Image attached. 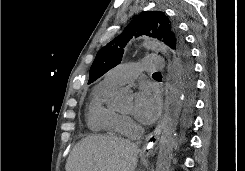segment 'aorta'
<instances>
[{"instance_id":"1","label":"aorta","mask_w":245,"mask_h":171,"mask_svg":"<svg viewBox=\"0 0 245 171\" xmlns=\"http://www.w3.org/2000/svg\"><path fill=\"white\" fill-rule=\"evenodd\" d=\"M143 46L147 49L163 52L167 57L166 102L162 121V134L159 141V152L155 171H170L175 144L176 126L179 112L183 104V90L177 75V67L170 59V49L157 40H146ZM131 95L127 90H118L110 105L115 109L124 110L128 107Z\"/></svg>"}]
</instances>
